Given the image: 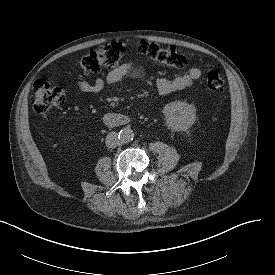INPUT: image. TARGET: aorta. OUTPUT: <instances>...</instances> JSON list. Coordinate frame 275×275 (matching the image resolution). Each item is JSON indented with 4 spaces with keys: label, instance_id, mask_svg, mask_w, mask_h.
<instances>
[{
    "label": "aorta",
    "instance_id": "aorta-1",
    "mask_svg": "<svg viewBox=\"0 0 275 275\" xmlns=\"http://www.w3.org/2000/svg\"><path fill=\"white\" fill-rule=\"evenodd\" d=\"M119 139L122 143H129L134 139V131L130 127H125L119 132Z\"/></svg>",
    "mask_w": 275,
    "mask_h": 275
}]
</instances>
